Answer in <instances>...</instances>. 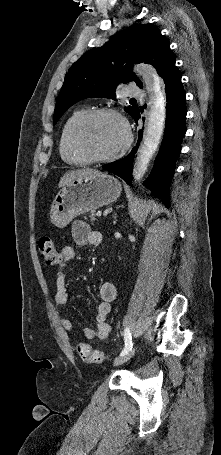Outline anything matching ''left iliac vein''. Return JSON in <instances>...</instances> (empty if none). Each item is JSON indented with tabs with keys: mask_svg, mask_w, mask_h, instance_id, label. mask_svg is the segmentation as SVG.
I'll use <instances>...</instances> for the list:
<instances>
[{
	"mask_svg": "<svg viewBox=\"0 0 221 455\" xmlns=\"http://www.w3.org/2000/svg\"><path fill=\"white\" fill-rule=\"evenodd\" d=\"M135 351H136V347H134L133 349L128 351L126 354L120 355L118 358H116L114 360V363H113L114 366L121 365V364L127 362L128 360H130L133 357V355L135 354Z\"/></svg>",
	"mask_w": 221,
	"mask_h": 455,
	"instance_id": "left-iliac-vein-1",
	"label": "left iliac vein"
}]
</instances>
